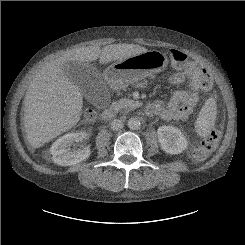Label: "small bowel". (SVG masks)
<instances>
[{
  "mask_svg": "<svg viewBox=\"0 0 245 245\" xmlns=\"http://www.w3.org/2000/svg\"><path fill=\"white\" fill-rule=\"evenodd\" d=\"M203 74L209 75L206 69L194 62L174 72L170 77V82L175 86H181L187 82L190 90L175 91L166 104L162 100L154 101L149 106L150 108H147V113L160 116L164 120L186 119L199 103L201 92L204 91L198 82V77Z\"/></svg>",
  "mask_w": 245,
  "mask_h": 245,
  "instance_id": "1",
  "label": "small bowel"
}]
</instances>
